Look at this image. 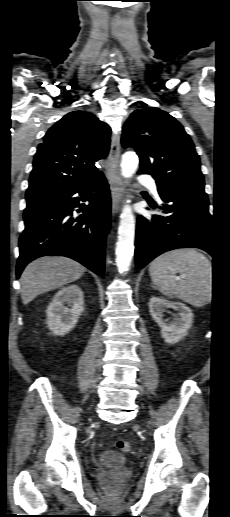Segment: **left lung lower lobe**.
<instances>
[{"label": "left lung lower lobe", "instance_id": "1", "mask_svg": "<svg viewBox=\"0 0 230 517\" xmlns=\"http://www.w3.org/2000/svg\"><path fill=\"white\" fill-rule=\"evenodd\" d=\"M141 174V173H139ZM164 216H139L136 228L135 259L143 268L158 255L177 248H200L214 257L208 198L200 190H173L158 183ZM155 208V205H151Z\"/></svg>", "mask_w": 230, "mask_h": 517}]
</instances>
